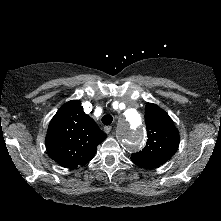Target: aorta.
Returning <instances> with one entry per match:
<instances>
[{"instance_id": "762f6f07", "label": "aorta", "mask_w": 221, "mask_h": 221, "mask_svg": "<svg viewBox=\"0 0 221 221\" xmlns=\"http://www.w3.org/2000/svg\"><path fill=\"white\" fill-rule=\"evenodd\" d=\"M117 135L127 150H139L145 142L144 119L141 113L134 108L127 109L120 121Z\"/></svg>"}]
</instances>
